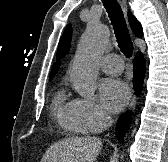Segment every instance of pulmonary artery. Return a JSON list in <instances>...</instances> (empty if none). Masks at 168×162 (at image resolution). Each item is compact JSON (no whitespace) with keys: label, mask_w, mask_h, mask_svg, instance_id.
Instances as JSON below:
<instances>
[{"label":"pulmonary artery","mask_w":168,"mask_h":162,"mask_svg":"<svg viewBox=\"0 0 168 162\" xmlns=\"http://www.w3.org/2000/svg\"><path fill=\"white\" fill-rule=\"evenodd\" d=\"M100 66L104 72L110 75H118L123 71V62L117 54H108L101 60Z\"/></svg>","instance_id":"1"}]
</instances>
